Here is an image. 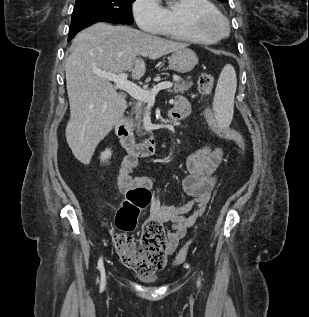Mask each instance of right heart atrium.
<instances>
[{"mask_svg":"<svg viewBox=\"0 0 309 317\" xmlns=\"http://www.w3.org/2000/svg\"><path fill=\"white\" fill-rule=\"evenodd\" d=\"M132 13L138 27L148 33H159L165 25L164 9L159 0H134Z\"/></svg>","mask_w":309,"mask_h":317,"instance_id":"d8ad5b80","label":"right heart atrium"}]
</instances>
